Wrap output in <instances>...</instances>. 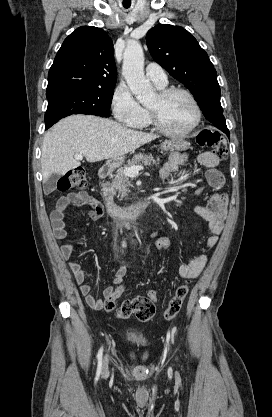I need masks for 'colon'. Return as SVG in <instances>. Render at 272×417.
I'll use <instances>...</instances> for the list:
<instances>
[{
    "instance_id": "5ec220e1",
    "label": "colon",
    "mask_w": 272,
    "mask_h": 417,
    "mask_svg": "<svg viewBox=\"0 0 272 417\" xmlns=\"http://www.w3.org/2000/svg\"><path fill=\"white\" fill-rule=\"evenodd\" d=\"M198 145L209 147L212 153L220 160L227 156V143L223 136L214 130L203 129L196 137ZM86 184L85 171L82 168H76L64 175L57 184L60 191H67L76 187H84ZM171 247V240L168 237L160 236L155 239L154 248L157 251H165ZM124 291V284H120L115 288L110 298L105 302V310L112 312L116 310V299H118ZM189 292V283L185 281L181 283L175 290L169 300L168 306L164 311L166 319L174 318L182 308L183 302ZM158 299L156 290H150L147 296L135 297L131 300L124 301L116 310L118 318L127 319L135 316L141 321L150 320L155 314V303Z\"/></svg>"
}]
</instances>
